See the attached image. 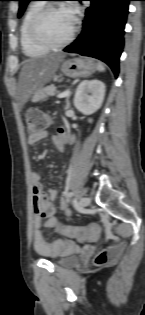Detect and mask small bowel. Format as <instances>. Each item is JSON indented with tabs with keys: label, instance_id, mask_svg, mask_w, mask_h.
Wrapping results in <instances>:
<instances>
[{
	"label": "small bowel",
	"instance_id": "c3829d8e",
	"mask_svg": "<svg viewBox=\"0 0 145 315\" xmlns=\"http://www.w3.org/2000/svg\"><path fill=\"white\" fill-rule=\"evenodd\" d=\"M47 136L45 130L37 131L28 136L27 142L29 145H35ZM73 136L68 134L65 129L59 128L53 136V144L58 151H64L67 142L71 141ZM32 194H33V246L37 253L44 256L62 255L75 251L81 242L88 241L92 238L78 239V241L56 238L52 242L45 239L42 228H58L63 227L62 222L56 218V207L53 201L57 196L56 189H48L43 192L40 174L36 171L31 173ZM58 208L62 210L69 218L73 217V213L69 208L67 200L62 197L59 200Z\"/></svg>",
	"mask_w": 145,
	"mask_h": 315
}]
</instances>
